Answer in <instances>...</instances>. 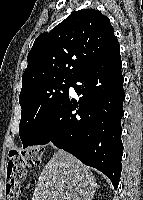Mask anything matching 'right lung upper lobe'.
<instances>
[{
    "instance_id": "right-lung-upper-lobe-1",
    "label": "right lung upper lobe",
    "mask_w": 143,
    "mask_h": 200,
    "mask_svg": "<svg viewBox=\"0 0 143 200\" xmlns=\"http://www.w3.org/2000/svg\"><path fill=\"white\" fill-rule=\"evenodd\" d=\"M118 47L107 16L95 9L76 11L34 41L21 91L49 80H73L83 69Z\"/></svg>"
}]
</instances>
